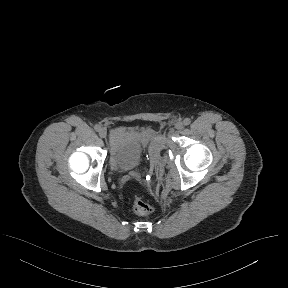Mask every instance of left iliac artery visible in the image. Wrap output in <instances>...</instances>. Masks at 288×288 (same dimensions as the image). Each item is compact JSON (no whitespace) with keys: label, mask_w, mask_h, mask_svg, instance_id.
Listing matches in <instances>:
<instances>
[{"label":"left iliac artery","mask_w":288,"mask_h":288,"mask_svg":"<svg viewBox=\"0 0 288 288\" xmlns=\"http://www.w3.org/2000/svg\"><path fill=\"white\" fill-rule=\"evenodd\" d=\"M190 123H191L190 118H185V119L183 120V124H184L185 126L189 125Z\"/></svg>","instance_id":"1"}]
</instances>
